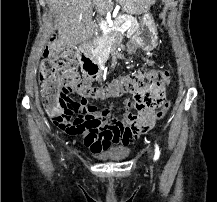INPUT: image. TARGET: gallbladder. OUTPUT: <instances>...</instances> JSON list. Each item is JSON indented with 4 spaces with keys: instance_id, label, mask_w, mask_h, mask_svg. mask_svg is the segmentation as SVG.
Listing matches in <instances>:
<instances>
[{
    "instance_id": "bac80fb5",
    "label": "gallbladder",
    "mask_w": 217,
    "mask_h": 202,
    "mask_svg": "<svg viewBox=\"0 0 217 202\" xmlns=\"http://www.w3.org/2000/svg\"><path fill=\"white\" fill-rule=\"evenodd\" d=\"M91 38H96V34H92Z\"/></svg>"
}]
</instances>
